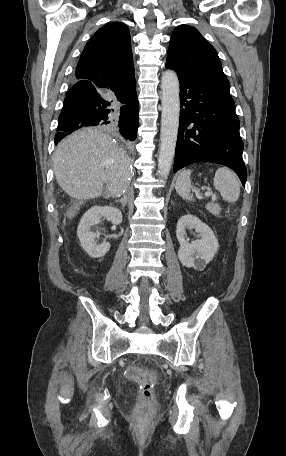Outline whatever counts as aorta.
<instances>
[{"instance_id":"762f6f07","label":"aorta","mask_w":286,"mask_h":456,"mask_svg":"<svg viewBox=\"0 0 286 456\" xmlns=\"http://www.w3.org/2000/svg\"><path fill=\"white\" fill-rule=\"evenodd\" d=\"M161 89L162 115L158 174L160 178L167 179L174 159L180 116V88L175 71L166 70L162 74Z\"/></svg>"}]
</instances>
